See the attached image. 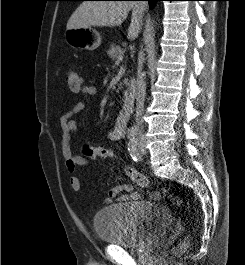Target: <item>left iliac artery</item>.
Instances as JSON below:
<instances>
[{
	"label": "left iliac artery",
	"instance_id": "1",
	"mask_svg": "<svg viewBox=\"0 0 245 265\" xmlns=\"http://www.w3.org/2000/svg\"><path fill=\"white\" fill-rule=\"evenodd\" d=\"M137 141L135 139V137L130 138L129 142H128V151L130 153V156L132 157V159L134 161H138L140 158L139 152L137 150Z\"/></svg>",
	"mask_w": 245,
	"mask_h": 265
}]
</instances>
